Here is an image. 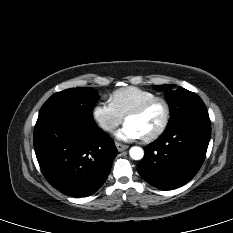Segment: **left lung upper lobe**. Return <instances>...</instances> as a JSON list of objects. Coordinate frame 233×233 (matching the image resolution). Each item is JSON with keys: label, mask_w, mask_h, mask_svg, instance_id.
<instances>
[{"label": "left lung upper lobe", "mask_w": 233, "mask_h": 233, "mask_svg": "<svg viewBox=\"0 0 233 233\" xmlns=\"http://www.w3.org/2000/svg\"><path fill=\"white\" fill-rule=\"evenodd\" d=\"M175 85H153L154 89L166 90L165 95L170 106L168 127L195 117L209 118L207 108L202 99L195 93Z\"/></svg>", "instance_id": "1"}]
</instances>
